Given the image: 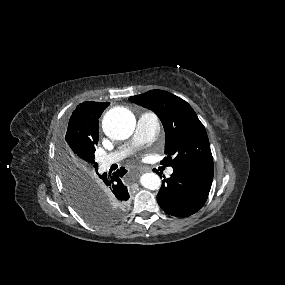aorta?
<instances>
[{
	"label": "aorta",
	"mask_w": 285,
	"mask_h": 285,
	"mask_svg": "<svg viewBox=\"0 0 285 285\" xmlns=\"http://www.w3.org/2000/svg\"><path fill=\"white\" fill-rule=\"evenodd\" d=\"M102 128L110 138L124 140L134 131L135 117L129 109L115 107L105 114ZM140 183L146 189L157 190L161 186V179L156 173L150 172L141 176Z\"/></svg>",
	"instance_id": "aorta-1"
}]
</instances>
